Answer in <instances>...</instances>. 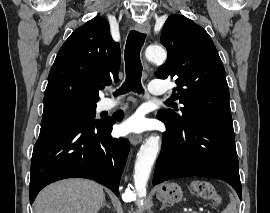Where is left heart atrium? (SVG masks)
Instances as JSON below:
<instances>
[{"label":"left heart atrium","mask_w":270,"mask_h":213,"mask_svg":"<svg viewBox=\"0 0 270 213\" xmlns=\"http://www.w3.org/2000/svg\"><path fill=\"white\" fill-rule=\"evenodd\" d=\"M143 128L144 119L139 114L132 116L122 125V131L124 133H138L142 131Z\"/></svg>","instance_id":"1"}]
</instances>
